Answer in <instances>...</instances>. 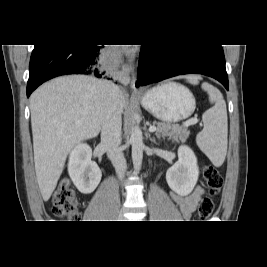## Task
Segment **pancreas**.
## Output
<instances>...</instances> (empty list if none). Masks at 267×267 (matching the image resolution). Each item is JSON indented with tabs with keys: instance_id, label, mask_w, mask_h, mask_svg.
<instances>
[{
	"instance_id": "cf45deb5",
	"label": "pancreas",
	"mask_w": 267,
	"mask_h": 267,
	"mask_svg": "<svg viewBox=\"0 0 267 267\" xmlns=\"http://www.w3.org/2000/svg\"><path fill=\"white\" fill-rule=\"evenodd\" d=\"M157 125L156 136L160 137H169L173 142H185L190 132L186 127H181L179 125H172L164 122H155Z\"/></svg>"
}]
</instances>
